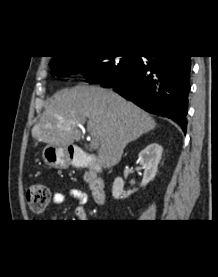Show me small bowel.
Masks as SVG:
<instances>
[{
  "instance_id": "c3829d8e",
  "label": "small bowel",
  "mask_w": 218,
  "mask_h": 277,
  "mask_svg": "<svg viewBox=\"0 0 218 277\" xmlns=\"http://www.w3.org/2000/svg\"><path fill=\"white\" fill-rule=\"evenodd\" d=\"M66 196L77 202L78 205L75 209V214L80 220H85L86 219L85 205L88 202L87 194L84 191L77 188L69 189L66 194L61 192H55L52 195V204L54 206L63 205L65 202Z\"/></svg>"
}]
</instances>
